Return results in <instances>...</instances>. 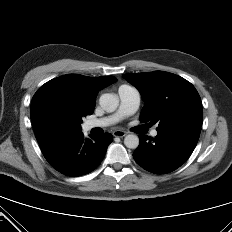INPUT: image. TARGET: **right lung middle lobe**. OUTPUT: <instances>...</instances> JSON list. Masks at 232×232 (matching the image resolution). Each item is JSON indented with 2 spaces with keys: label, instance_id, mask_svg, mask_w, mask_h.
<instances>
[{
  "label": "right lung middle lobe",
  "instance_id": "1",
  "mask_svg": "<svg viewBox=\"0 0 232 232\" xmlns=\"http://www.w3.org/2000/svg\"><path fill=\"white\" fill-rule=\"evenodd\" d=\"M85 113L66 98H50L41 111L43 125L51 132H60L69 126L80 127Z\"/></svg>",
  "mask_w": 232,
  "mask_h": 232
}]
</instances>
